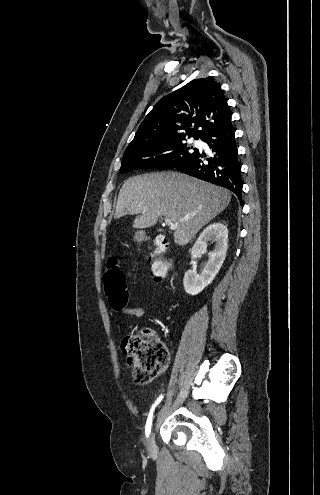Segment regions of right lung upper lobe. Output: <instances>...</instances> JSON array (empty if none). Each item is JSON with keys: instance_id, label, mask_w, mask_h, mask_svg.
<instances>
[{"instance_id": "cb5924a9", "label": "right lung upper lobe", "mask_w": 320, "mask_h": 495, "mask_svg": "<svg viewBox=\"0 0 320 495\" xmlns=\"http://www.w3.org/2000/svg\"><path fill=\"white\" fill-rule=\"evenodd\" d=\"M230 118L220 84L211 77L195 79L155 104L126 150L186 137L198 139Z\"/></svg>"}]
</instances>
